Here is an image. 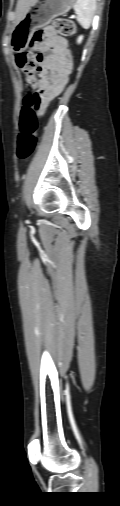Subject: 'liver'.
I'll list each match as a JSON object with an SVG mask.
<instances>
[{
    "label": "liver",
    "instance_id": "liver-1",
    "mask_svg": "<svg viewBox=\"0 0 120 506\" xmlns=\"http://www.w3.org/2000/svg\"><path fill=\"white\" fill-rule=\"evenodd\" d=\"M34 2H35V0H18L17 7H16V12H17L16 24L19 21H21V19L23 18L24 14L27 11V9L29 8V6L31 4H33Z\"/></svg>",
    "mask_w": 120,
    "mask_h": 506
}]
</instances>
